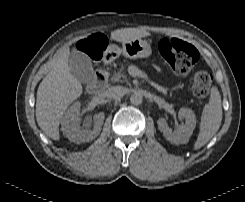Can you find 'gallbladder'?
<instances>
[{"label":"gallbladder","mask_w":245,"mask_h":202,"mask_svg":"<svg viewBox=\"0 0 245 202\" xmlns=\"http://www.w3.org/2000/svg\"><path fill=\"white\" fill-rule=\"evenodd\" d=\"M69 69L71 74L81 83H88L94 78L91 59L83 52L77 50L71 52Z\"/></svg>","instance_id":"obj_1"}]
</instances>
